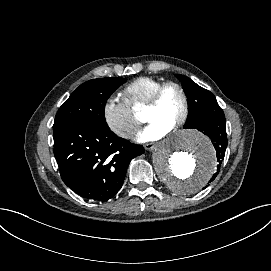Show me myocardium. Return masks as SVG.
Wrapping results in <instances>:
<instances>
[{
    "instance_id": "obj_1",
    "label": "myocardium",
    "mask_w": 271,
    "mask_h": 271,
    "mask_svg": "<svg viewBox=\"0 0 271 271\" xmlns=\"http://www.w3.org/2000/svg\"><path fill=\"white\" fill-rule=\"evenodd\" d=\"M174 86L176 88H178L182 95H183V99H184V111L181 115V117L174 123L171 131H175L180 129L189 119L190 117V113H191V100H190V95L186 89V87L178 82V81H165L163 83H161L157 89L154 91L150 102L146 105L145 107V111L149 110V109H156L159 107L160 105V101H161V97L162 94L164 93V91L168 88Z\"/></svg>"
}]
</instances>
